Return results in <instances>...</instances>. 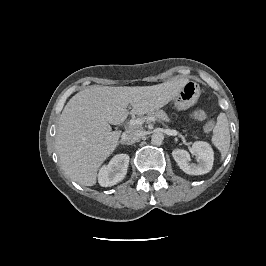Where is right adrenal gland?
Instances as JSON below:
<instances>
[{
	"label": "right adrenal gland",
	"mask_w": 266,
	"mask_h": 266,
	"mask_svg": "<svg viewBox=\"0 0 266 266\" xmlns=\"http://www.w3.org/2000/svg\"><path fill=\"white\" fill-rule=\"evenodd\" d=\"M119 144H121V145H123V146H124V144H123L121 141L118 143V145H119Z\"/></svg>",
	"instance_id": "right-adrenal-gland-1"
}]
</instances>
